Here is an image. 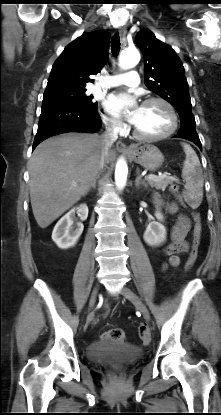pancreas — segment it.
<instances>
[{
  "label": "pancreas",
  "instance_id": "obj_1",
  "mask_svg": "<svg viewBox=\"0 0 221 415\" xmlns=\"http://www.w3.org/2000/svg\"><path fill=\"white\" fill-rule=\"evenodd\" d=\"M172 183H173V180L170 179V178H168V177H160V178H158L156 180H148V184L151 187H154L157 190H163V191L165 190V188L169 184H172ZM173 191L175 192L176 190H173Z\"/></svg>",
  "mask_w": 221,
  "mask_h": 415
}]
</instances>
